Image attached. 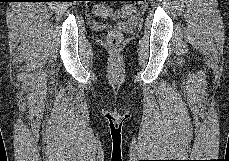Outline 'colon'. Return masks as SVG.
<instances>
[{"label":"colon","instance_id":"obj_1","mask_svg":"<svg viewBox=\"0 0 229 161\" xmlns=\"http://www.w3.org/2000/svg\"><path fill=\"white\" fill-rule=\"evenodd\" d=\"M136 12L134 5H124L120 8L118 14L121 16H132ZM94 15L98 17H109L113 15L112 10L106 4L98 3L93 7ZM107 42L110 48L118 49L122 43V36L118 31H112L108 34Z\"/></svg>","mask_w":229,"mask_h":161}]
</instances>
